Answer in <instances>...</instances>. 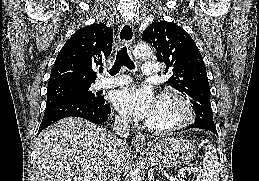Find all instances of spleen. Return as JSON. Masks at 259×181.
<instances>
[{"label": "spleen", "instance_id": "1", "mask_svg": "<svg viewBox=\"0 0 259 181\" xmlns=\"http://www.w3.org/2000/svg\"><path fill=\"white\" fill-rule=\"evenodd\" d=\"M204 169L200 171L196 181H219V161L216 149L208 144L203 159Z\"/></svg>", "mask_w": 259, "mask_h": 181}]
</instances>
